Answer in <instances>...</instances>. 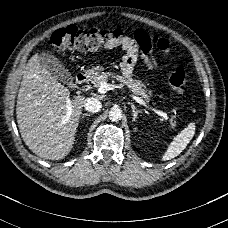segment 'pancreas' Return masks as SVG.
Returning <instances> with one entry per match:
<instances>
[{"mask_svg": "<svg viewBox=\"0 0 228 228\" xmlns=\"http://www.w3.org/2000/svg\"><path fill=\"white\" fill-rule=\"evenodd\" d=\"M109 77H112L110 79L111 82H114L115 80L119 81L123 85H126L134 94L142 96V98L145 101H148V95L144 92L142 88L141 80H138L136 78L131 79L129 77H115L114 73L111 72H105L97 76L95 79V85L99 86L102 83H108Z\"/></svg>", "mask_w": 228, "mask_h": 228, "instance_id": "1", "label": "pancreas"}]
</instances>
